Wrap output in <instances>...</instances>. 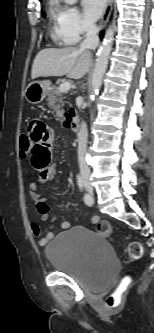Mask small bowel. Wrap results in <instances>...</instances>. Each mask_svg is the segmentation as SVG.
Segmentation results:
<instances>
[{
	"label": "small bowel",
	"mask_w": 154,
	"mask_h": 333,
	"mask_svg": "<svg viewBox=\"0 0 154 333\" xmlns=\"http://www.w3.org/2000/svg\"><path fill=\"white\" fill-rule=\"evenodd\" d=\"M27 135L31 140L30 160L32 167L38 172L37 179L30 184V196L36 202V208L42 221H47L50 214V206L39 192V185L53 180L56 173V165L53 161L52 147L54 134L51 128L43 121L35 119L28 125ZM99 221L98 216L92 217V223ZM70 222H61L63 229H68ZM32 234L38 238V243L44 246L54 234L47 232L42 235L40 226L32 222L30 225Z\"/></svg>",
	"instance_id": "small-bowel-1"
}]
</instances>
